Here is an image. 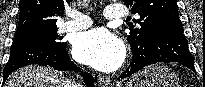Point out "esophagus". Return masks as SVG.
Returning a JSON list of instances; mask_svg holds the SVG:
<instances>
[{
    "instance_id": "1",
    "label": "esophagus",
    "mask_w": 205,
    "mask_h": 87,
    "mask_svg": "<svg viewBox=\"0 0 205 87\" xmlns=\"http://www.w3.org/2000/svg\"><path fill=\"white\" fill-rule=\"evenodd\" d=\"M99 84L103 87H107L110 84L109 77L100 76L99 77Z\"/></svg>"
}]
</instances>
